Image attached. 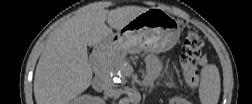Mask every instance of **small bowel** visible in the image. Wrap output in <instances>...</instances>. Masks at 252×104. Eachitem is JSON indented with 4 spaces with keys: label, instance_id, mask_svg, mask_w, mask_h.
<instances>
[{
    "label": "small bowel",
    "instance_id": "c3829d8e",
    "mask_svg": "<svg viewBox=\"0 0 252 104\" xmlns=\"http://www.w3.org/2000/svg\"><path fill=\"white\" fill-rule=\"evenodd\" d=\"M147 66H148L147 80L153 81L160 74L161 71L160 65L154 56H149L147 58Z\"/></svg>",
    "mask_w": 252,
    "mask_h": 104
}]
</instances>
